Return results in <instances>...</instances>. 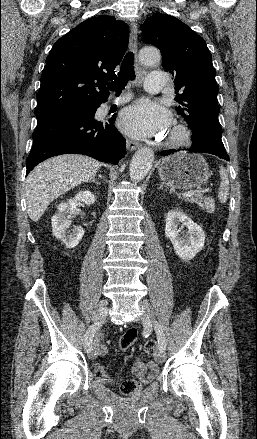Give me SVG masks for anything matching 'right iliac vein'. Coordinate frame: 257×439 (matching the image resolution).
<instances>
[{"label": "right iliac vein", "mask_w": 257, "mask_h": 439, "mask_svg": "<svg viewBox=\"0 0 257 439\" xmlns=\"http://www.w3.org/2000/svg\"><path fill=\"white\" fill-rule=\"evenodd\" d=\"M106 305H107V303L105 301L100 302V304L96 310V313L93 317L94 322H99L106 317V315H107V306ZM96 345H97V339L94 340L93 345H92V350L89 352V358L91 360L95 359L97 356Z\"/></svg>", "instance_id": "obj_1"}]
</instances>
